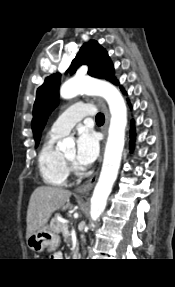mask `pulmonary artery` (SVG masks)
I'll return each instance as SVG.
<instances>
[{
  "label": "pulmonary artery",
  "instance_id": "e3ab8cb5",
  "mask_svg": "<svg viewBox=\"0 0 175 287\" xmlns=\"http://www.w3.org/2000/svg\"><path fill=\"white\" fill-rule=\"evenodd\" d=\"M94 114L95 109L90 104H73L55 120L50 133L59 137L66 135L76 123Z\"/></svg>",
  "mask_w": 175,
  "mask_h": 287
}]
</instances>
